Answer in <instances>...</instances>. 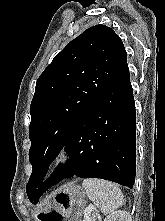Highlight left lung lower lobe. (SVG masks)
I'll return each instance as SVG.
<instances>
[{
    "instance_id": "obj_1",
    "label": "left lung lower lobe",
    "mask_w": 165,
    "mask_h": 221,
    "mask_svg": "<svg viewBox=\"0 0 165 221\" xmlns=\"http://www.w3.org/2000/svg\"><path fill=\"white\" fill-rule=\"evenodd\" d=\"M64 147L70 159L45 179L32 203L70 177L101 178L133 187L136 112L127 63L81 119Z\"/></svg>"
}]
</instances>
